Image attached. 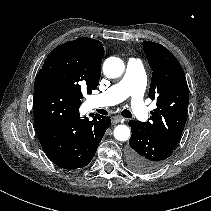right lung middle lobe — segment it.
<instances>
[{"label":"right lung middle lobe","mask_w":211,"mask_h":211,"mask_svg":"<svg viewBox=\"0 0 211 211\" xmlns=\"http://www.w3.org/2000/svg\"><path fill=\"white\" fill-rule=\"evenodd\" d=\"M36 78L60 85L73 92L80 100L83 99V91L91 94L97 87L86 77L71 53L60 45L49 53Z\"/></svg>","instance_id":"dd1d6c3e"}]
</instances>
